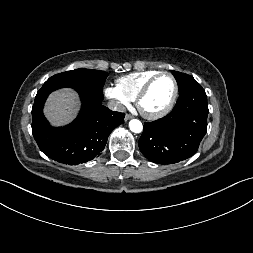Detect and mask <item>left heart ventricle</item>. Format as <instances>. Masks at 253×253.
Instances as JSON below:
<instances>
[{"label":"left heart ventricle","instance_id":"left-heart-ventricle-1","mask_svg":"<svg viewBox=\"0 0 253 253\" xmlns=\"http://www.w3.org/2000/svg\"><path fill=\"white\" fill-rule=\"evenodd\" d=\"M173 81L169 76H161L151 86L148 94L142 101V108L150 113L165 108L173 94Z\"/></svg>","mask_w":253,"mask_h":253}]
</instances>
